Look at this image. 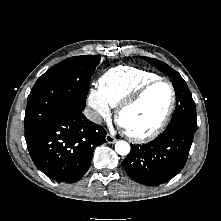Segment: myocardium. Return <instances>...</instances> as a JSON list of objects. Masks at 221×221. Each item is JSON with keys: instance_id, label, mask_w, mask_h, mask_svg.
Segmentation results:
<instances>
[{"instance_id": "f54148a6", "label": "myocardium", "mask_w": 221, "mask_h": 221, "mask_svg": "<svg viewBox=\"0 0 221 221\" xmlns=\"http://www.w3.org/2000/svg\"><path fill=\"white\" fill-rule=\"evenodd\" d=\"M158 83H166L170 87V91H171V99L169 102V106H168L163 118L161 119V121L157 124V126L154 129H152L151 131H149L147 133H133V132L129 131L123 125V122L121 120L122 113L126 109H128V108L132 107L133 105H135L136 103H138L142 99V97L144 96L146 91ZM175 104H176V90H175L173 83L167 78L157 77V78L149 80L148 82L141 85L139 88H137L133 93H131L128 97H126L117 106L116 114H115L116 121L120 125V127L122 128L125 135L131 141L144 142L147 140H151V139L157 137L163 131V129L165 128V126L167 125V123L169 122V120L172 116V113L175 108Z\"/></svg>"}]
</instances>
